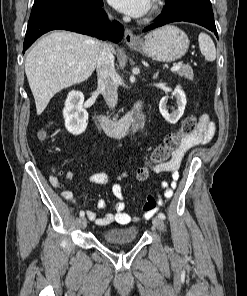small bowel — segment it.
<instances>
[{
	"label": "small bowel",
	"instance_id": "obj_1",
	"mask_svg": "<svg viewBox=\"0 0 247 296\" xmlns=\"http://www.w3.org/2000/svg\"><path fill=\"white\" fill-rule=\"evenodd\" d=\"M215 132V125L210 120L208 114H202L199 118L198 128L196 132L190 136H187L183 139L179 148L173 153L172 158L164 163L159 165L151 166L152 170L155 173H170L172 180L171 182L164 181L162 183V188L164 189L163 198L168 201L173 196V190L176 187V181L178 180V168L182 161L184 154L192 147L196 145H203L208 143L213 137ZM65 178L67 180H72L74 178V173L68 171L65 173ZM90 182L99 185H107L110 183L109 177L104 173H96L90 177ZM50 184L54 188H61L62 184L56 177L50 178ZM111 190L117 202L113 205V212H108L102 217H98L97 214L93 211H86L87 217L93 221L98 226H107L112 223H117L120 225H127L135 221L136 218L132 217L126 212V205L124 203V194L123 189L120 183H112ZM61 195L64 199L70 201L73 199V193L69 190H63ZM156 199L152 195H148L145 204L143 205L142 211L143 215L146 218H150L154 215L159 206L163 203V200L160 195ZM98 209H106L107 203L103 199H99L96 203Z\"/></svg>",
	"mask_w": 247,
	"mask_h": 296
}]
</instances>
